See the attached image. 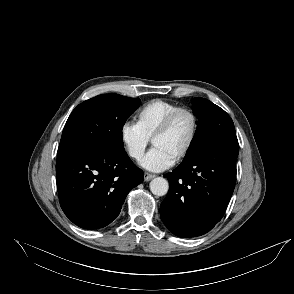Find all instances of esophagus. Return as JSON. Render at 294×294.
<instances>
[{"mask_svg": "<svg viewBox=\"0 0 294 294\" xmlns=\"http://www.w3.org/2000/svg\"><path fill=\"white\" fill-rule=\"evenodd\" d=\"M155 177L156 176L154 174H150V173H147V172L144 173V180L145 181H150L151 179H153Z\"/></svg>", "mask_w": 294, "mask_h": 294, "instance_id": "esophagus-1", "label": "esophagus"}]
</instances>
